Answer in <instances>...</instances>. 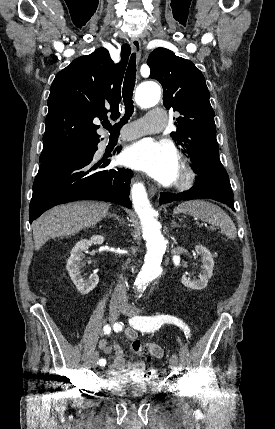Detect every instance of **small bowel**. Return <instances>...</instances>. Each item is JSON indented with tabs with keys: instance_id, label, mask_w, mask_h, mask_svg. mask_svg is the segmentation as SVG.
I'll return each mask as SVG.
<instances>
[{
	"instance_id": "obj_1",
	"label": "small bowel",
	"mask_w": 275,
	"mask_h": 429,
	"mask_svg": "<svg viewBox=\"0 0 275 429\" xmlns=\"http://www.w3.org/2000/svg\"><path fill=\"white\" fill-rule=\"evenodd\" d=\"M127 339L132 342V346L135 342H138L141 348H145L148 353L154 358H161L163 356V349L156 343L153 342H141L137 338L136 331L132 328L125 330ZM99 348L103 350L107 355L110 356L111 363L108 365L109 374L114 375L119 372L128 374H137L143 371L144 364L140 361L126 360L124 356V350L116 343H109L106 340L99 342Z\"/></svg>"
}]
</instances>
